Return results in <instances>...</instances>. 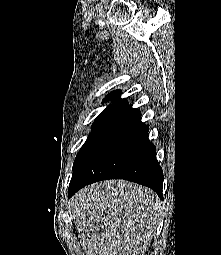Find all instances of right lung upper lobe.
Listing matches in <instances>:
<instances>
[{
  "mask_svg": "<svg viewBox=\"0 0 221 255\" xmlns=\"http://www.w3.org/2000/svg\"><path fill=\"white\" fill-rule=\"evenodd\" d=\"M120 94H121V91L116 90V91L111 92L110 94H108V96L105 97L103 102H109V101L112 102L106 109L118 110L128 104L126 99L120 98Z\"/></svg>",
  "mask_w": 221,
  "mask_h": 255,
  "instance_id": "obj_1",
  "label": "right lung upper lobe"
}]
</instances>
